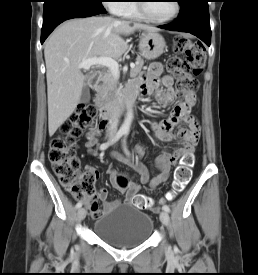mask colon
Listing matches in <instances>:
<instances>
[{"label":"colon","instance_id":"5ec220e1","mask_svg":"<svg viewBox=\"0 0 258 275\" xmlns=\"http://www.w3.org/2000/svg\"><path fill=\"white\" fill-rule=\"evenodd\" d=\"M174 51L181 56L169 58L166 67L168 72L176 77V94L187 98L199 88L196 76L204 67L205 51L186 36L175 38ZM96 114L97 110L91 105L78 108L61 125L59 135L50 143L49 160L58 181L80 201L95 194L96 174L92 171L80 172V161L76 156V139L91 125ZM192 166V154L187 153L174 172L169 199L185 188L191 178ZM117 184L121 189H125L128 181L124 177H117ZM133 203L139 209H154L151 198L145 195L135 196Z\"/></svg>","mask_w":258,"mask_h":275}]
</instances>
